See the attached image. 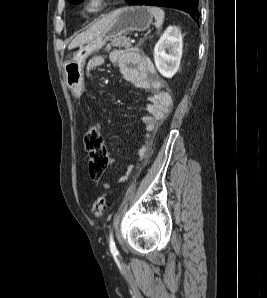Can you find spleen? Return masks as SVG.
Masks as SVG:
<instances>
[{"instance_id": "1", "label": "spleen", "mask_w": 267, "mask_h": 298, "mask_svg": "<svg viewBox=\"0 0 267 298\" xmlns=\"http://www.w3.org/2000/svg\"><path fill=\"white\" fill-rule=\"evenodd\" d=\"M148 10L153 14L155 18V27L160 29L164 22L165 13L161 8L158 7H148Z\"/></svg>"}]
</instances>
